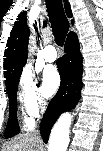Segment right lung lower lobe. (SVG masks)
Here are the masks:
<instances>
[{
    "instance_id": "98d812e1",
    "label": "right lung lower lobe",
    "mask_w": 103,
    "mask_h": 151,
    "mask_svg": "<svg viewBox=\"0 0 103 151\" xmlns=\"http://www.w3.org/2000/svg\"><path fill=\"white\" fill-rule=\"evenodd\" d=\"M64 51L66 54L58 64L61 77L60 88L50 101L40 126V133L45 143L60 114L73 109L80 99L83 66L79 42L75 34L67 38Z\"/></svg>"
}]
</instances>
